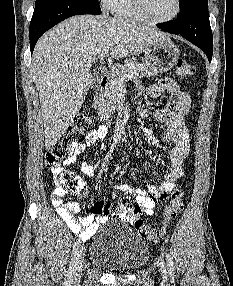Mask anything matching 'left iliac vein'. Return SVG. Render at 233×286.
<instances>
[{
	"label": "left iliac vein",
	"mask_w": 233,
	"mask_h": 286,
	"mask_svg": "<svg viewBox=\"0 0 233 286\" xmlns=\"http://www.w3.org/2000/svg\"><path fill=\"white\" fill-rule=\"evenodd\" d=\"M160 265H161V270H162L163 274L166 275L167 272H166L165 264L162 260L160 262Z\"/></svg>",
	"instance_id": "1"
}]
</instances>
